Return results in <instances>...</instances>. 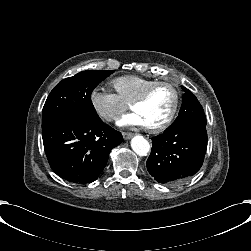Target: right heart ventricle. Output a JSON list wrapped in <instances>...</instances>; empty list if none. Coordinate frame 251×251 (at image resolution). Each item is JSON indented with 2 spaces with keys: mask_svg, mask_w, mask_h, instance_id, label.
<instances>
[{
  "mask_svg": "<svg viewBox=\"0 0 251 251\" xmlns=\"http://www.w3.org/2000/svg\"><path fill=\"white\" fill-rule=\"evenodd\" d=\"M154 81L148 76L131 74L117 77L111 84L120 99L130 104Z\"/></svg>",
  "mask_w": 251,
  "mask_h": 251,
  "instance_id": "right-heart-ventricle-1",
  "label": "right heart ventricle"
}]
</instances>
